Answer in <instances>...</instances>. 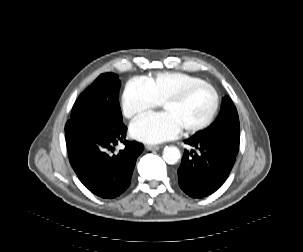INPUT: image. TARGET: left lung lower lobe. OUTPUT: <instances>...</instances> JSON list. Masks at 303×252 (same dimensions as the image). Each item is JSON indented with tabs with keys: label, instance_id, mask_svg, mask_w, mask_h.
<instances>
[{
	"label": "left lung lower lobe",
	"instance_id": "left-lung-lower-lobe-1",
	"mask_svg": "<svg viewBox=\"0 0 303 252\" xmlns=\"http://www.w3.org/2000/svg\"><path fill=\"white\" fill-rule=\"evenodd\" d=\"M185 143L199 148L200 155L194 151L185 152L178 169L179 185L192 197H203L217 190L227 178L235 162L237 146L224 145L204 139H190ZM187 169L192 172L186 176Z\"/></svg>",
	"mask_w": 303,
	"mask_h": 252
}]
</instances>
